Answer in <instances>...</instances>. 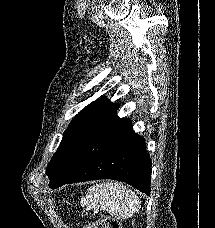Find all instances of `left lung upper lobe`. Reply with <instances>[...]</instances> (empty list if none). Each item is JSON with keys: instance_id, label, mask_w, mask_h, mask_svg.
<instances>
[{"instance_id": "left-lung-upper-lobe-1", "label": "left lung upper lobe", "mask_w": 215, "mask_h": 228, "mask_svg": "<svg viewBox=\"0 0 215 228\" xmlns=\"http://www.w3.org/2000/svg\"><path fill=\"white\" fill-rule=\"evenodd\" d=\"M118 104L107 98L97 99L73 118L62 141L46 168L49 179L54 178L81 144L107 119L114 115Z\"/></svg>"}]
</instances>
